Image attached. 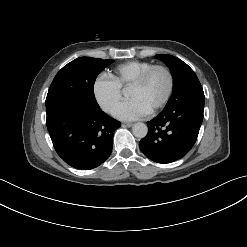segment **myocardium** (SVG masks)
<instances>
[{"label":"myocardium","instance_id":"myocardium-1","mask_svg":"<svg viewBox=\"0 0 247 247\" xmlns=\"http://www.w3.org/2000/svg\"><path fill=\"white\" fill-rule=\"evenodd\" d=\"M156 70H162L166 73L168 77V88L162 100L150 110V113L157 112L158 110L163 108L172 96L174 86H175V79H174V75L171 69L161 64L152 65L130 84V87H140L144 85L146 81L148 80V78L150 77V75Z\"/></svg>","mask_w":247,"mask_h":247}]
</instances>
